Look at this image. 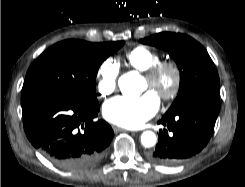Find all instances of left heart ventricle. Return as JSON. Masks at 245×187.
I'll return each mask as SVG.
<instances>
[{"instance_id":"left-heart-ventricle-1","label":"left heart ventricle","mask_w":245,"mask_h":187,"mask_svg":"<svg viewBox=\"0 0 245 187\" xmlns=\"http://www.w3.org/2000/svg\"><path fill=\"white\" fill-rule=\"evenodd\" d=\"M172 85V76L170 74H165L159 81L158 85L152 87L148 79H145V89H152L158 95L160 92H164L170 89Z\"/></svg>"}]
</instances>
